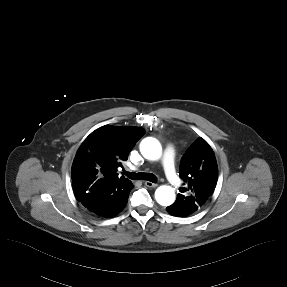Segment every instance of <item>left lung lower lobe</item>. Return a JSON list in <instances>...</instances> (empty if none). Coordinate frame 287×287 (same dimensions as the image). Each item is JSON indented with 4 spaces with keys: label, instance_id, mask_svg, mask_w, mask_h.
Here are the masks:
<instances>
[{
    "label": "left lung lower lobe",
    "instance_id": "obj_1",
    "mask_svg": "<svg viewBox=\"0 0 287 287\" xmlns=\"http://www.w3.org/2000/svg\"><path fill=\"white\" fill-rule=\"evenodd\" d=\"M166 210L171 214V215H174V216H187V215H190L192 214L193 212H191L190 210L188 209H184V208H181L179 205H177L176 203L168 206L166 208Z\"/></svg>",
    "mask_w": 287,
    "mask_h": 287
}]
</instances>
